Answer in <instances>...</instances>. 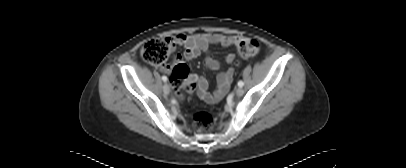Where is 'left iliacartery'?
Wrapping results in <instances>:
<instances>
[{
  "mask_svg": "<svg viewBox=\"0 0 406 168\" xmlns=\"http://www.w3.org/2000/svg\"><path fill=\"white\" fill-rule=\"evenodd\" d=\"M238 86H239V87H243V86H244V82H243V81H239V82H238Z\"/></svg>",
  "mask_w": 406,
  "mask_h": 168,
  "instance_id": "44dca946",
  "label": "left iliac artery"
}]
</instances>
